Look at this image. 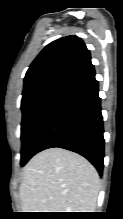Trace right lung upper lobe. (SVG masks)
I'll return each mask as SVG.
<instances>
[{
	"instance_id": "right-lung-upper-lobe-1",
	"label": "right lung upper lobe",
	"mask_w": 123,
	"mask_h": 219,
	"mask_svg": "<svg viewBox=\"0 0 123 219\" xmlns=\"http://www.w3.org/2000/svg\"><path fill=\"white\" fill-rule=\"evenodd\" d=\"M93 67L90 52L76 36H67L47 45L30 65L23 93L53 80H71Z\"/></svg>"
}]
</instances>
